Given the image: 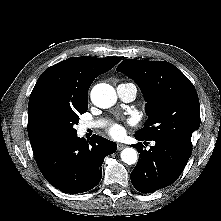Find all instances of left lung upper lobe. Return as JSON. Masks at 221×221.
Instances as JSON below:
<instances>
[{
	"label": "left lung upper lobe",
	"instance_id": "obj_1",
	"mask_svg": "<svg viewBox=\"0 0 221 221\" xmlns=\"http://www.w3.org/2000/svg\"><path fill=\"white\" fill-rule=\"evenodd\" d=\"M116 70L134 79L147 100L149 119L135 135L173 141L192 150L191 136L200 125V104L190 80L165 61L126 59Z\"/></svg>",
	"mask_w": 221,
	"mask_h": 221
}]
</instances>
